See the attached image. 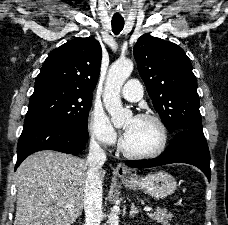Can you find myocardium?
Segmentation results:
<instances>
[{
    "instance_id": "obj_1",
    "label": "myocardium",
    "mask_w": 228,
    "mask_h": 225,
    "mask_svg": "<svg viewBox=\"0 0 228 225\" xmlns=\"http://www.w3.org/2000/svg\"><path fill=\"white\" fill-rule=\"evenodd\" d=\"M136 119L139 120H147L155 123L161 132V144L159 148L153 152H139V151H134L130 149L126 143L124 138L120 140V150L127 156L133 157V158H140V159H151V158H156L161 156L167 146H168V141H169V134H168V129L165 125V123L157 116L151 115V114H140L136 117Z\"/></svg>"
}]
</instances>
